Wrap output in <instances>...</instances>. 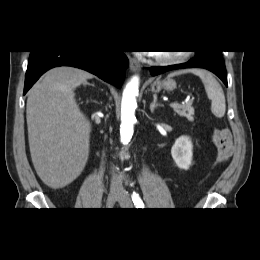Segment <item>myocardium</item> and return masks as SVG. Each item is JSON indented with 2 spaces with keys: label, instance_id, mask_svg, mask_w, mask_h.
I'll return each mask as SVG.
<instances>
[{
  "label": "myocardium",
  "instance_id": "myocardium-1",
  "mask_svg": "<svg viewBox=\"0 0 260 260\" xmlns=\"http://www.w3.org/2000/svg\"><path fill=\"white\" fill-rule=\"evenodd\" d=\"M184 58L183 54H156L154 60L161 65H170L181 61Z\"/></svg>",
  "mask_w": 260,
  "mask_h": 260
}]
</instances>
